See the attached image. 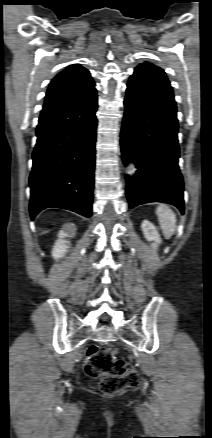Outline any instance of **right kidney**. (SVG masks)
Segmentation results:
<instances>
[{
    "label": "right kidney",
    "instance_id": "right-kidney-1",
    "mask_svg": "<svg viewBox=\"0 0 212 438\" xmlns=\"http://www.w3.org/2000/svg\"><path fill=\"white\" fill-rule=\"evenodd\" d=\"M75 226L73 224H66L62 230L58 233V240L55 242L52 249V256L54 259L64 257L65 253L69 249V241L65 240L66 237H72L75 234Z\"/></svg>",
    "mask_w": 212,
    "mask_h": 438
}]
</instances>
